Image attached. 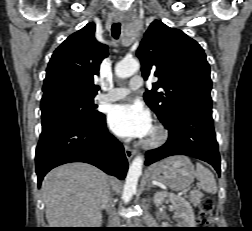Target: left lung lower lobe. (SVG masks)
<instances>
[{
    "instance_id": "1",
    "label": "left lung lower lobe",
    "mask_w": 252,
    "mask_h": 231,
    "mask_svg": "<svg viewBox=\"0 0 252 231\" xmlns=\"http://www.w3.org/2000/svg\"><path fill=\"white\" fill-rule=\"evenodd\" d=\"M163 124L169 138L163 146L146 152L145 165L168 156L187 155L208 162L220 175L211 107L196 103L181 106Z\"/></svg>"
}]
</instances>
